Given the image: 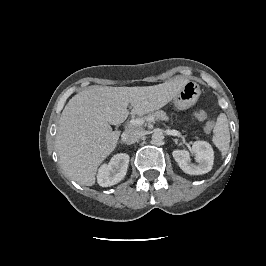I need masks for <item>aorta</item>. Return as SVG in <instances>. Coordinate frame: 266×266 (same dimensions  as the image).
Returning a JSON list of instances; mask_svg holds the SVG:
<instances>
[{"instance_id":"aorta-1","label":"aorta","mask_w":266,"mask_h":266,"mask_svg":"<svg viewBox=\"0 0 266 266\" xmlns=\"http://www.w3.org/2000/svg\"><path fill=\"white\" fill-rule=\"evenodd\" d=\"M164 140V134L161 131H155L152 134V143L155 145H161Z\"/></svg>"}]
</instances>
